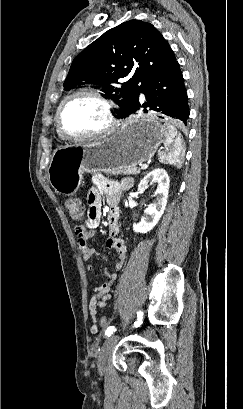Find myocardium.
<instances>
[{
  "mask_svg": "<svg viewBox=\"0 0 243 409\" xmlns=\"http://www.w3.org/2000/svg\"><path fill=\"white\" fill-rule=\"evenodd\" d=\"M81 95L92 97L95 100H97L99 103L102 104L105 110L107 124L103 129L97 132L91 133V134L71 135V134L66 133L63 129L62 114H63L66 104L74 97L81 96ZM117 126H118V122L114 114V108H113L112 102L107 97H105L103 94H101L100 92L94 89H79L77 91H74L73 93L69 94L61 101L56 111L57 132L62 138L66 140H70V141H84V140H89V139L101 138V137L111 134L113 131L116 130Z\"/></svg>",
  "mask_w": 243,
  "mask_h": 409,
  "instance_id": "myocardium-1",
  "label": "myocardium"
}]
</instances>
